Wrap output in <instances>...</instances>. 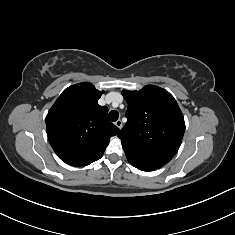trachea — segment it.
<instances>
[{
  "label": "trachea",
  "mask_w": 235,
  "mask_h": 235,
  "mask_svg": "<svg viewBox=\"0 0 235 235\" xmlns=\"http://www.w3.org/2000/svg\"><path fill=\"white\" fill-rule=\"evenodd\" d=\"M118 117H119L118 111L112 110V111L109 112V119H110L112 122L117 121Z\"/></svg>",
  "instance_id": "trachea-1"
}]
</instances>
